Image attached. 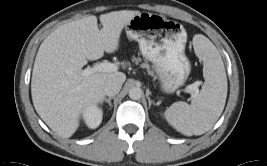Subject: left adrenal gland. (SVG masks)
Here are the masks:
<instances>
[{
	"label": "left adrenal gland",
	"mask_w": 267,
	"mask_h": 166,
	"mask_svg": "<svg viewBox=\"0 0 267 166\" xmlns=\"http://www.w3.org/2000/svg\"><path fill=\"white\" fill-rule=\"evenodd\" d=\"M146 96H147V99H148L149 107L151 106V104L156 105V104L154 103V101H152V100L150 99L149 93H147Z\"/></svg>",
	"instance_id": "left-adrenal-gland-1"
}]
</instances>
